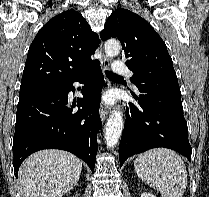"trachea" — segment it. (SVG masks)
Instances as JSON below:
<instances>
[{"mask_svg": "<svg viewBox=\"0 0 209 197\" xmlns=\"http://www.w3.org/2000/svg\"><path fill=\"white\" fill-rule=\"evenodd\" d=\"M105 74H106V76L109 78V79H113V78H121V76H119V75H116V74H114V73H112V72H110V71H105Z\"/></svg>", "mask_w": 209, "mask_h": 197, "instance_id": "obj_1", "label": "trachea"}]
</instances>
